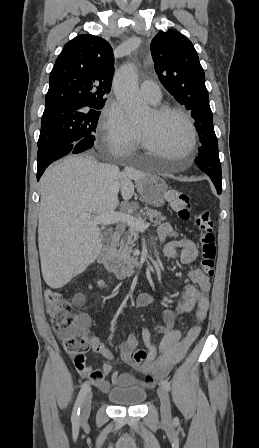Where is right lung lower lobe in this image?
Returning <instances> with one entry per match:
<instances>
[{
    "mask_svg": "<svg viewBox=\"0 0 259 448\" xmlns=\"http://www.w3.org/2000/svg\"><path fill=\"white\" fill-rule=\"evenodd\" d=\"M74 154V145H55L38 149L37 180L40 179L45 169L53 162L67 154Z\"/></svg>",
    "mask_w": 259,
    "mask_h": 448,
    "instance_id": "obj_1",
    "label": "right lung lower lobe"
}]
</instances>
